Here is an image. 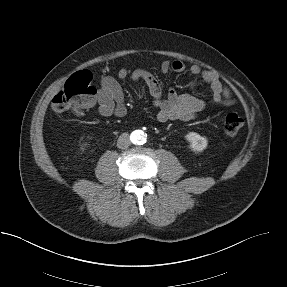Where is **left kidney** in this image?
Wrapping results in <instances>:
<instances>
[{
  "label": "left kidney",
  "instance_id": "obj_1",
  "mask_svg": "<svg viewBox=\"0 0 287 287\" xmlns=\"http://www.w3.org/2000/svg\"><path fill=\"white\" fill-rule=\"evenodd\" d=\"M185 138L190 143V148L193 151L201 152L207 147V139L196 132L188 133Z\"/></svg>",
  "mask_w": 287,
  "mask_h": 287
}]
</instances>
